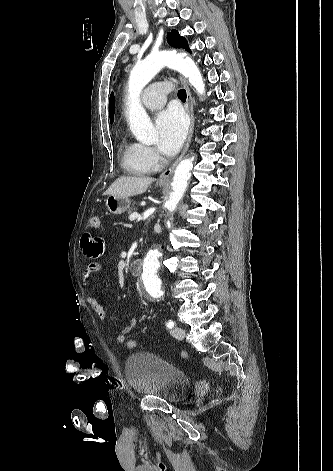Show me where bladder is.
Returning a JSON list of instances; mask_svg holds the SVG:
<instances>
[{"instance_id": "obj_1", "label": "bladder", "mask_w": 333, "mask_h": 471, "mask_svg": "<svg viewBox=\"0 0 333 471\" xmlns=\"http://www.w3.org/2000/svg\"><path fill=\"white\" fill-rule=\"evenodd\" d=\"M125 376L137 394L169 403L182 401L192 387V381L184 371L148 352L135 353L127 358Z\"/></svg>"}]
</instances>
